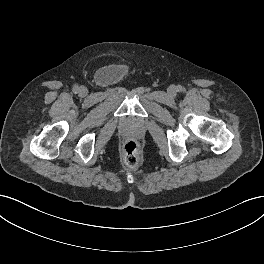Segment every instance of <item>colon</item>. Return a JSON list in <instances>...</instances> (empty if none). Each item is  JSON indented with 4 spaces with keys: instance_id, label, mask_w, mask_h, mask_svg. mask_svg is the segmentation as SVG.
Instances as JSON below:
<instances>
[{
    "instance_id": "obj_1",
    "label": "colon",
    "mask_w": 264,
    "mask_h": 264,
    "mask_svg": "<svg viewBox=\"0 0 264 264\" xmlns=\"http://www.w3.org/2000/svg\"><path fill=\"white\" fill-rule=\"evenodd\" d=\"M139 146L134 140L127 141L123 146V155L125 163L134 167L139 161Z\"/></svg>"
}]
</instances>
